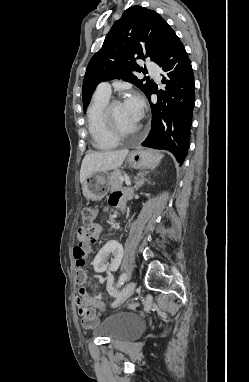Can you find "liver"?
Wrapping results in <instances>:
<instances>
[{"mask_svg":"<svg viewBox=\"0 0 249 382\" xmlns=\"http://www.w3.org/2000/svg\"><path fill=\"white\" fill-rule=\"evenodd\" d=\"M128 150L89 152L85 155L80 169V182L84 183L88 175L94 172H106L108 170L119 168L126 156Z\"/></svg>","mask_w":249,"mask_h":382,"instance_id":"6515ba94","label":"liver"}]
</instances>
